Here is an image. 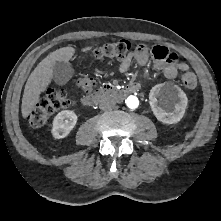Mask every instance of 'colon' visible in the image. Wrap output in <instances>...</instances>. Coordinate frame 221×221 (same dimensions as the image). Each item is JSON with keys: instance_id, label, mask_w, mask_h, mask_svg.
I'll list each match as a JSON object with an SVG mask.
<instances>
[{"instance_id": "1", "label": "colon", "mask_w": 221, "mask_h": 221, "mask_svg": "<svg viewBox=\"0 0 221 221\" xmlns=\"http://www.w3.org/2000/svg\"><path fill=\"white\" fill-rule=\"evenodd\" d=\"M131 43L128 40L117 42L97 44L92 50V55L100 59H117L123 60L130 54ZM181 82L187 89H195L197 86V77L191 71H184L181 74ZM77 86L89 93L95 86V80L90 75H84L77 80ZM71 100L63 90H49L43 95L33 108L29 122L32 127L39 128L44 126L50 115L55 111L68 107Z\"/></svg>"}]
</instances>
